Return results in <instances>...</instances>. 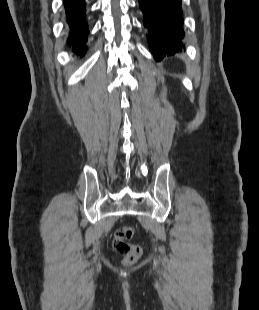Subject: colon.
I'll return each instance as SVG.
<instances>
[{
  "label": "colon",
  "instance_id": "5ec220e1",
  "mask_svg": "<svg viewBox=\"0 0 259 310\" xmlns=\"http://www.w3.org/2000/svg\"><path fill=\"white\" fill-rule=\"evenodd\" d=\"M133 233L134 230L131 226H122L116 230L112 240L113 249L123 256L124 263L126 264L135 263L142 254V249L139 245L129 242Z\"/></svg>",
  "mask_w": 259,
  "mask_h": 310
}]
</instances>
